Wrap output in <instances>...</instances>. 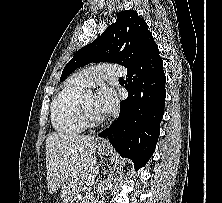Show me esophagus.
<instances>
[{"instance_id": "esophagus-1", "label": "esophagus", "mask_w": 222, "mask_h": 203, "mask_svg": "<svg viewBox=\"0 0 222 203\" xmlns=\"http://www.w3.org/2000/svg\"><path fill=\"white\" fill-rule=\"evenodd\" d=\"M100 145H101V146H108V142H107L106 140H102V141L100 142Z\"/></svg>"}]
</instances>
